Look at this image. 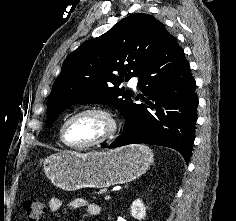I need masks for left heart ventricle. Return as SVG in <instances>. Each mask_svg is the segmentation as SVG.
Here are the masks:
<instances>
[{
  "label": "left heart ventricle",
  "instance_id": "obj_1",
  "mask_svg": "<svg viewBox=\"0 0 236 221\" xmlns=\"http://www.w3.org/2000/svg\"><path fill=\"white\" fill-rule=\"evenodd\" d=\"M110 129L108 120L100 114H85L73 119L66 127L69 143L84 145L104 137Z\"/></svg>",
  "mask_w": 236,
  "mask_h": 221
}]
</instances>
